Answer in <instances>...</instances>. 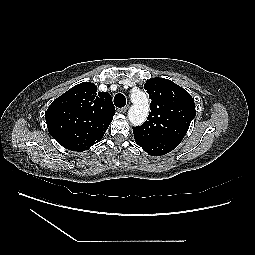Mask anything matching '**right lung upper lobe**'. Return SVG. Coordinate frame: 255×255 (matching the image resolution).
<instances>
[{
    "label": "right lung upper lobe",
    "instance_id": "1",
    "mask_svg": "<svg viewBox=\"0 0 255 255\" xmlns=\"http://www.w3.org/2000/svg\"><path fill=\"white\" fill-rule=\"evenodd\" d=\"M115 107L107 92L80 83L53 101L45 113L50 135L64 148L82 152L99 142L113 120Z\"/></svg>",
    "mask_w": 255,
    "mask_h": 255
}]
</instances>
